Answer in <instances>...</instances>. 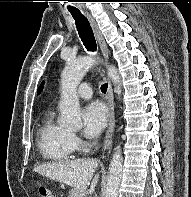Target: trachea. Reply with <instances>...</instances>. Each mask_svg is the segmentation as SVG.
I'll use <instances>...</instances> for the list:
<instances>
[{
	"mask_svg": "<svg viewBox=\"0 0 191 197\" xmlns=\"http://www.w3.org/2000/svg\"><path fill=\"white\" fill-rule=\"evenodd\" d=\"M71 14L75 20L78 34L86 49L91 52L96 51V40L88 20L79 12H71ZM107 88L108 84L105 83L101 86V91L106 93Z\"/></svg>",
	"mask_w": 191,
	"mask_h": 197,
	"instance_id": "trachea-1",
	"label": "trachea"
}]
</instances>
